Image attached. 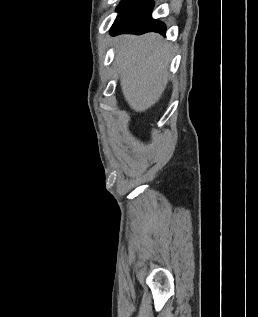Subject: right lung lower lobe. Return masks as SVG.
Returning a JSON list of instances; mask_svg holds the SVG:
<instances>
[{"mask_svg":"<svg viewBox=\"0 0 258 317\" xmlns=\"http://www.w3.org/2000/svg\"><path fill=\"white\" fill-rule=\"evenodd\" d=\"M154 7L152 0H122L117 11L119 12L111 34L159 32L165 34V25L151 17Z\"/></svg>","mask_w":258,"mask_h":317,"instance_id":"98d812e1","label":"right lung lower lobe"}]
</instances>
